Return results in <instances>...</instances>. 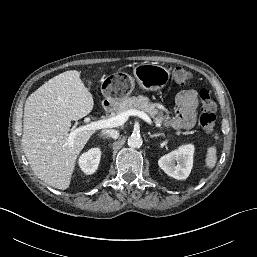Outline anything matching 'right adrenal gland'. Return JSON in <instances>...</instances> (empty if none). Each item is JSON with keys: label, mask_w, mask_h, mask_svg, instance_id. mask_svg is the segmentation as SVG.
<instances>
[{"label": "right adrenal gland", "mask_w": 257, "mask_h": 257, "mask_svg": "<svg viewBox=\"0 0 257 257\" xmlns=\"http://www.w3.org/2000/svg\"><path fill=\"white\" fill-rule=\"evenodd\" d=\"M99 136H100L101 138H103V139L108 138V136H106V135H104V134H100Z\"/></svg>", "instance_id": "2a0ac1e0"}]
</instances>
